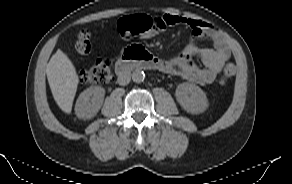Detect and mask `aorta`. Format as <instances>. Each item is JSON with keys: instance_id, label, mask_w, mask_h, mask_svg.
<instances>
[{"instance_id": "1", "label": "aorta", "mask_w": 292, "mask_h": 184, "mask_svg": "<svg viewBox=\"0 0 292 184\" xmlns=\"http://www.w3.org/2000/svg\"><path fill=\"white\" fill-rule=\"evenodd\" d=\"M145 79V74L143 71L136 69L133 73H132V80L136 83H141L143 82Z\"/></svg>"}]
</instances>
